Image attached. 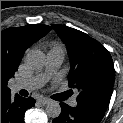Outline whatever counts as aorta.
Wrapping results in <instances>:
<instances>
[{
    "label": "aorta",
    "instance_id": "aorta-1",
    "mask_svg": "<svg viewBox=\"0 0 123 123\" xmlns=\"http://www.w3.org/2000/svg\"><path fill=\"white\" fill-rule=\"evenodd\" d=\"M26 64L33 69H41L46 64V55L40 50H30L25 57ZM61 113L58 102H50L46 106V114L51 118H57Z\"/></svg>",
    "mask_w": 123,
    "mask_h": 123
}]
</instances>
